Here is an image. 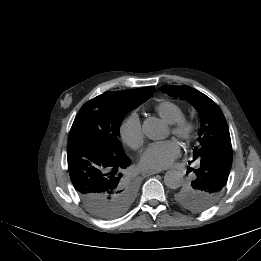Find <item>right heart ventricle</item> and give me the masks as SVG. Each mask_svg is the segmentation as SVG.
Segmentation results:
<instances>
[{
	"mask_svg": "<svg viewBox=\"0 0 261 261\" xmlns=\"http://www.w3.org/2000/svg\"><path fill=\"white\" fill-rule=\"evenodd\" d=\"M155 111L168 123L174 124L184 117V109L171 100H163L154 107Z\"/></svg>",
	"mask_w": 261,
	"mask_h": 261,
	"instance_id": "e07e8e85",
	"label": "right heart ventricle"
}]
</instances>
